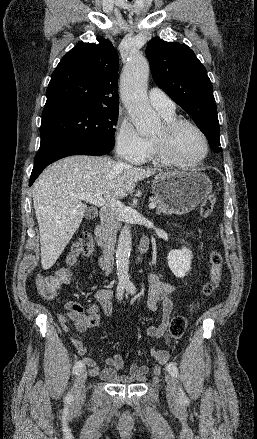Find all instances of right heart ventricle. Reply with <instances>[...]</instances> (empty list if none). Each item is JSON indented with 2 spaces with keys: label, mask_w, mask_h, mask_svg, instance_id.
<instances>
[{
  "label": "right heart ventricle",
  "mask_w": 257,
  "mask_h": 439,
  "mask_svg": "<svg viewBox=\"0 0 257 439\" xmlns=\"http://www.w3.org/2000/svg\"><path fill=\"white\" fill-rule=\"evenodd\" d=\"M163 118H164L165 121L175 120V116L174 115L163 116ZM147 143H148L147 153H146L145 157L141 161H139V163L147 162V161H150V160H156L158 158L152 138H147Z\"/></svg>",
  "instance_id": "right-heart-ventricle-1"
}]
</instances>
